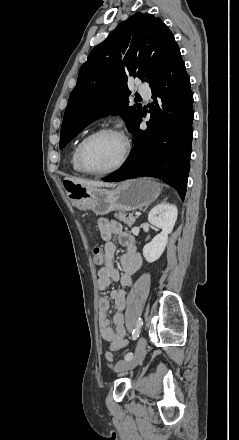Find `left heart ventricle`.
Masks as SVG:
<instances>
[{
  "label": "left heart ventricle",
  "mask_w": 239,
  "mask_h": 440,
  "mask_svg": "<svg viewBox=\"0 0 239 440\" xmlns=\"http://www.w3.org/2000/svg\"><path fill=\"white\" fill-rule=\"evenodd\" d=\"M124 149L120 136L104 134L88 143L84 151L85 163L89 169L104 171L111 169L119 162Z\"/></svg>",
  "instance_id": "left-heart-ventricle-1"
}]
</instances>
